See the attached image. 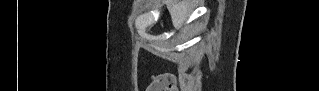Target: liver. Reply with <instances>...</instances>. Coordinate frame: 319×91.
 <instances>
[{
	"instance_id": "liver-1",
	"label": "liver",
	"mask_w": 319,
	"mask_h": 91,
	"mask_svg": "<svg viewBox=\"0 0 319 91\" xmlns=\"http://www.w3.org/2000/svg\"><path fill=\"white\" fill-rule=\"evenodd\" d=\"M190 1L189 0H183L181 3L176 4L173 8V11L177 14V17L174 21L176 25L181 24L185 19V14L187 12V9L189 7Z\"/></svg>"
}]
</instances>
